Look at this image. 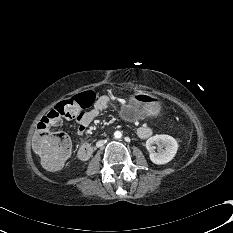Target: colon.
I'll return each instance as SVG.
<instances>
[{
  "label": "colon",
  "instance_id": "colon-1",
  "mask_svg": "<svg viewBox=\"0 0 233 233\" xmlns=\"http://www.w3.org/2000/svg\"><path fill=\"white\" fill-rule=\"evenodd\" d=\"M95 99V92L87 90L65 100L57 106V109L62 115L67 114L70 109L83 112L94 104ZM37 128L33 140L35 152L46 168L59 169L71 153L69 138L63 133L50 132L44 123H39Z\"/></svg>",
  "mask_w": 233,
  "mask_h": 233
}]
</instances>
